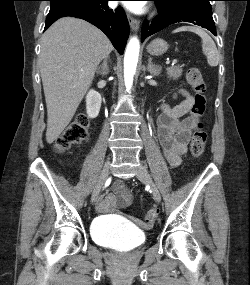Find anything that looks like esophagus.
<instances>
[{"label": "esophagus", "mask_w": 250, "mask_h": 285, "mask_svg": "<svg viewBox=\"0 0 250 285\" xmlns=\"http://www.w3.org/2000/svg\"><path fill=\"white\" fill-rule=\"evenodd\" d=\"M128 21H129L131 30L134 32H137L139 30V27H140L139 20L136 19L135 17H133L131 14H128Z\"/></svg>", "instance_id": "1"}]
</instances>
